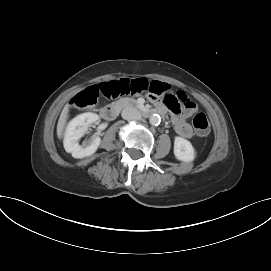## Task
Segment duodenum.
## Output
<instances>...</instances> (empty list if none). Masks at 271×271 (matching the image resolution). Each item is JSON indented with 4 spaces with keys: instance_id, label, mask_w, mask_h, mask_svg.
<instances>
[{
    "instance_id": "1",
    "label": "duodenum",
    "mask_w": 271,
    "mask_h": 271,
    "mask_svg": "<svg viewBox=\"0 0 271 271\" xmlns=\"http://www.w3.org/2000/svg\"><path fill=\"white\" fill-rule=\"evenodd\" d=\"M119 112V105L118 104H110L105 106L102 111L101 115L106 120H113ZM140 113L144 117H149L154 115L155 113H162V109L152 110V109H141Z\"/></svg>"
}]
</instances>
